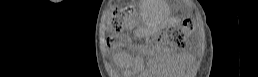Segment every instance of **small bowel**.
<instances>
[{
	"label": "small bowel",
	"mask_w": 258,
	"mask_h": 77,
	"mask_svg": "<svg viewBox=\"0 0 258 77\" xmlns=\"http://www.w3.org/2000/svg\"><path fill=\"white\" fill-rule=\"evenodd\" d=\"M122 57H125V54H121ZM130 62L136 66V67H140L141 66V60L139 57H130L129 58Z\"/></svg>",
	"instance_id": "1"
}]
</instances>
